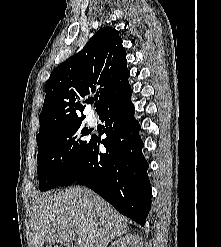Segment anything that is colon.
<instances>
[{
	"mask_svg": "<svg viewBox=\"0 0 221 247\" xmlns=\"http://www.w3.org/2000/svg\"><path fill=\"white\" fill-rule=\"evenodd\" d=\"M50 247H66L65 245H51Z\"/></svg>",
	"mask_w": 221,
	"mask_h": 247,
	"instance_id": "obj_1",
	"label": "colon"
}]
</instances>
